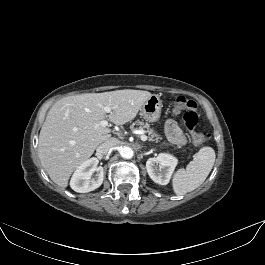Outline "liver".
Returning a JSON list of instances; mask_svg holds the SVG:
<instances>
[{"label":"liver","mask_w":265,"mask_h":265,"mask_svg":"<svg viewBox=\"0 0 265 265\" xmlns=\"http://www.w3.org/2000/svg\"><path fill=\"white\" fill-rule=\"evenodd\" d=\"M151 96L148 91L125 89L57 101L46 116L38 143L39 159L51 180L66 188L72 172L111 138V130L100 126V121L108 118L115 125H124ZM106 106L112 108L109 115Z\"/></svg>","instance_id":"6515ba94"}]
</instances>
